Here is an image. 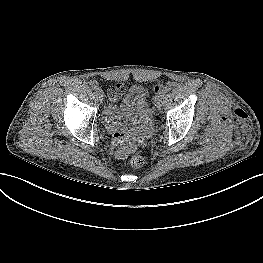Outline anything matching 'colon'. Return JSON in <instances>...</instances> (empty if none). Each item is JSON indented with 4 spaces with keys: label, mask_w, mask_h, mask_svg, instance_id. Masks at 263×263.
Instances as JSON below:
<instances>
[{
    "label": "colon",
    "mask_w": 263,
    "mask_h": 263,
    "mask_svg": "<svg viewBox=\"0 0 263 263\" xmlns=\"http://www.w3.org/2000/svg\"><path fill=\"white\" fill-rule=\"evenodd\" d=\"M160 89V86H156L155 91L158 92ZM117 92L114 89L110 90V96L111 97H116ZM114 137H116L117 139H122V135L120 133H115ZM144 163V159L141 155L139 154H135L133 156H131L130 158V165L134 168H138L141 167Z\"/></svg>",
    "instance_id": "1"
}]
</instances>
